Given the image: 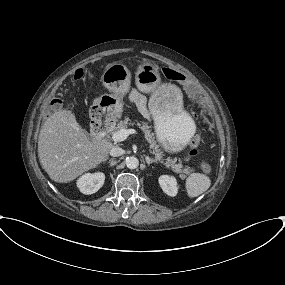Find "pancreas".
Wrapping results in <instances>:
<instances>
[{
  "label": "pancreas",
  "instance_id": "obj_1",
  "mask_svg": "<svg viewBox=\"0 0 285 285\" xmlns=\"http://www.w3.org/2000/svg\"><path fill=\"white\" fill-rule=\"evenodd\" d=\"M128 126H134V123L128 118L125 117L124 120L118 122L117 125H112L109 131L113 134L116 131L127 129ZM137 126L144 132L146 140L149 142L150 149H152V153L155 155L157 160H162L163 152L159 149V145L156 143L154 133L151 132L150 127L146 122L137 123ZM165 165L168 168H171L173 172L180 174V178H185V174H190L192 170L189 167H183V165L176 164V161L170 158H167L165 161Z\"/></svg>",
  "mask_w": 285,
  "mask_h": 285
}]
</instances>
